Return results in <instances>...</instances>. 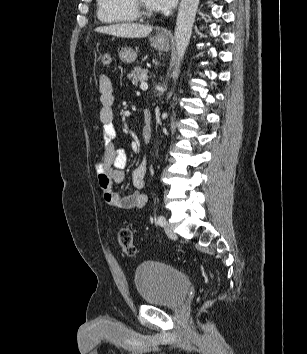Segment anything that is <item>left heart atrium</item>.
Wrapping results in <instances>:
<instances>
[{
  "mask_svg": "<svg viewBox=\"0 0 307 354\" xmlns=\"http://www.w3.org/2000/svg\"><path fill=\"white\" fill-rule=\"evenodd\" d=\"M177 0H150V4L154 10L167 11L175 6Z\"/></svg>",
  "mask_w": 307,
  "mask_h": 354,
  "instance_id": "left-heart-atrium-1",
  "label": "left heart atrium"
}]
</instances>
